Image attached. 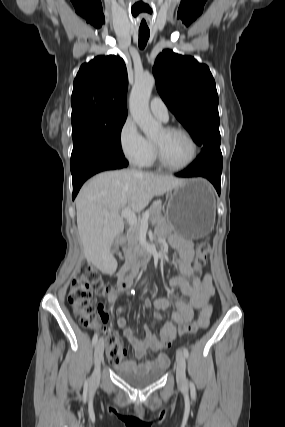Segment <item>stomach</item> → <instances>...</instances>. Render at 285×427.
Instances as JSON below:
<instances>
[{
    "label": "stomach",
    "mask_w": 285,
    "mask_h": 427,
    "mask_svg": "<svg viewBox=\"0 0 285 427\" xmlns=\"http://www.w3.org/2000/svg\"><path fill=\"white\" fill-rule=\"evenodd\" d=\"M215 208V197L209 183L202 178L187 179L171 193L166 221L176 234L187 239H199L213 230Z\"/></svg>",
    "instance_id": "1"
}]
</instances>
